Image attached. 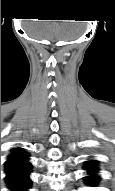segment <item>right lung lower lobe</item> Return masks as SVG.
I'll return each instance as SVG.
<instances>
[{
  "mask_svg": "<svg viewBox=\"0 0 115 191\" xmlns=\"http://www.w3.org/2000/svg\"><path fill=\"white\" fill-rule=\"evenodd\" d=\"M30 170L6 173V183L11 191H27L31 185Z\"/></svg>",
  "mask_w": 115,
  "mask_h": 191,
  "instance_id": "obj_1",
  "label": "right lung lower lobe"
}]
</instances>
